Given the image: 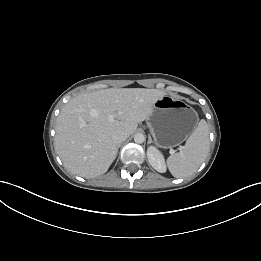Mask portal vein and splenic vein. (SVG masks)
I'll return each mask as SVG.
<instances>
[{
    "instance_id": "18ae733b",
    "label": "portal vein and splenic vein",
    "mask_w": 261,
    "mask_h": 261,
    "mask_svg": "<svg viewBox=\"0 0 261 261\" xmlns=\"http://www.w3.org/2000/svg\"><path fill=\"white\" fill-rule=\"evenodd\" d=\"M109 120H110V121L114 120V116H113V115H110V116H109ZM171 152L173 153L174 150H171Z\"/></svg>"
}]
</instances>
